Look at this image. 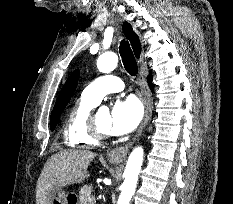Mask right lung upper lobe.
<instances>
[{"instance_id":"1","label":"right lung upper lobe","mask_w":233,"mask_h":204,"mask_svg":"<svg viewBox=\"0 0 233 204\" xmlns=\"http://www.w3.org/2000/svg\"><path fill=\"white\" fill-rule=\"evenodd\" d=\"M122 29H123L125 36L131 42L135 56L139 58L142 48H141V43H140L138 35L133 31L132 26L127 22L123 24Z\"/></svg>"}]
</instances>
